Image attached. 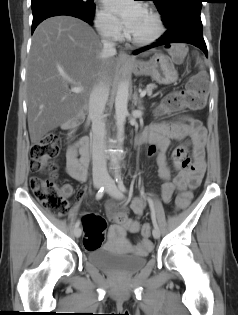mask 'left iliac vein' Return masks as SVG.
<instances>
[{
    "label": "left iliac vein",
    "mask_w": 238,
    "mask_h": 315,
    "mask_svg": "<svg viewBox=\"0 0 238 315\" xmlns=\"http://www.w3.org/2000/svg\"><path fill=\"white\" fill-rule=\"evenodd\" d=\"M105 188H106V192L110 196L116 199L123 198V194L121 193V191L116 186L115 182L110 177L105 178ZM152 234L155 239H158L160 237V230L158 228H154Z\"/></svg>",
    "instance_id": "obj_1"
}]
</instances>
